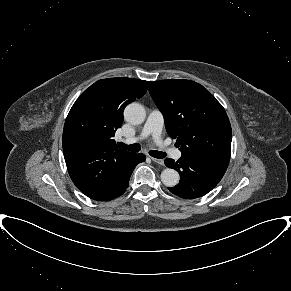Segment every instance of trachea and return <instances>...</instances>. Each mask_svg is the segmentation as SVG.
<instances>
[{
    "label": "trachea",
    "instance_id": "obj_1",
    "mask_svg": "<svg viewBox=\"0 0 291 291\" xmlns=\"http://www.w3.org/2000/svg\"><path fill=\"white\" fill-rule=\"evenodd\" d=\"M118 147L132 151V152H139L141 150V146L139 144H131V145H126L122 142H119ZM149 154L154 157V158H158V159H162L164 157H166V153L164 152H160V151H155V150H150Z\"/></svg>",
    "mask_w": 291,
    "mask_h": 291
}]
</instances>
